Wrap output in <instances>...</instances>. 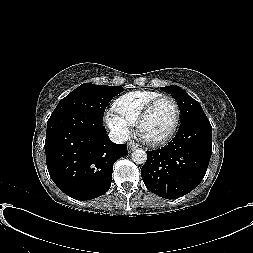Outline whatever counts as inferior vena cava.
I'll return each mask as SVG.
<instances>
[{"instance_id":"inferior-vena-cava-1","label":"inferior vena cava","mask_w":253,"mask_h":253,"mask_svg":"<svg viewBox=\"0 0 253 253\" xmlns=\"http://www.w3.org/2000/svg\"><path fill=\"white\" fill-rule=\"evenodd\" d=\"M109 137L112 142L117 143V144H122L128 140L127 136L120 133H115V132L110 133Z\"/></svg>"}]
</instances>
